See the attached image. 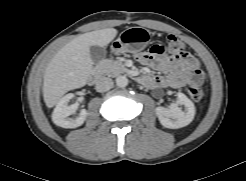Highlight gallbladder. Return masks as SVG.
<instances>
[{"instance_id":"gallbladder-1","label":"gallbladder","mask_w":246,"mask_h":181,"mask_svg":"<svg viewBox=\"0 0 246 181\" xmlns=\"http://www.w3.org/2000/svg\"><path fill=\"white\" fill-rule=\"evenodd\" d=\"M90 56L94 64H98L106 56V49L100 46H90Z\"/></svg>"}]
</instances>
